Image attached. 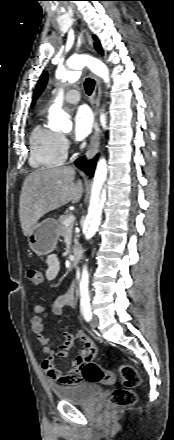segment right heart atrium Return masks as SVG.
Instances as JSON below:
<instances>
[{"label": "right heart atrium", "mask_w": 174, "mask_h": 440, "mask_svg": "<svg viewBox=\"0 0 174 440\" xmlns=\"http://www.w3.org/2000/svg\"><path fill=\"white\" fill-rule=\"evenodd\" d=\"M60 141H61V145H62L63 149L67 153L68 150L70 149V146H71L69 139L64 135H61Z\"/></svg>", "instance_id": "1"}]
</instances>
